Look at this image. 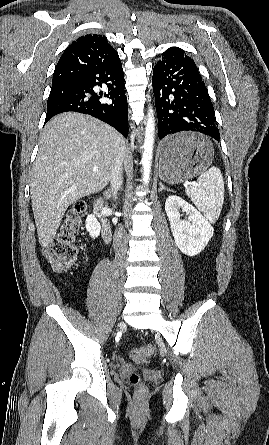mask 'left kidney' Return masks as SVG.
<instances>
[{"mask_svg": "<svg viewBox=\"0 0 269 445\" xmlns=\"http://www.w3.org/2000/svg\"><path fill=\"white\" fill-rule=\"evenodd\" d=\"M186 213V219L182 214ZM165 211L177 247L188 256L199 254L213 236L214 229L195 207L178 196H169Z\"/></svg>", "mask_w": 269, "mask_h": 445, "instance_id": "5707ae66", "label": "left kidney"}]
</instances>
